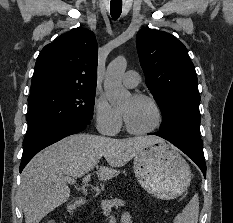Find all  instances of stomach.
Returning <instances> with one entry per match:
<instances>
[{
	"label": "stomach",
	"mask_w": 233,
	"mask_h": 223,
	"mask_svg": "<svg viewBox=\"0 0 233 223\" xmlns=\"http://www.w3.org/2000/svg\"><path fill=\"white\" fill-rule=\"evenodd\" d=\"M135 177L158 199H174L187 191L191 169L177 149L161 141L141 149L133 161Z\"/></svg>",
	"instance_id": "stomach-1"
}]
</instances>
